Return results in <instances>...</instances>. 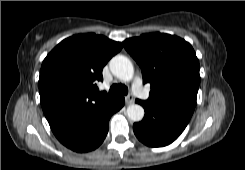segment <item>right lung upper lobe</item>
<instances>
[{
    "mask_svg": "<svg viewBox=\"0 0 245 170\" xmlns=\"http://www.w3.org/2000/svg\"><path fill=\"white\" fill-rule=\"evenodd\" d=\"M121 43L94 33L60 42L44 59L39 93L45 117L57 139L73 136L104 104L115 96L99 92L102 70Z\"/></svg>",
    "mask_w": 245,
    "mask_h": 170,
    "instance_id": "1",
    "label": "right lung upper lobe"
}]
</instances>
